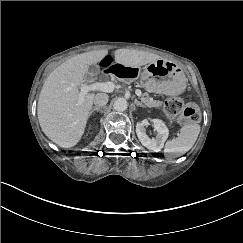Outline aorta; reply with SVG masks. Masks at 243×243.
<instances>
[{"label": "aorta", "instance_id": "762f6f07", "mask_svg": "<svg viewBox=\"0 0 243 243\" xmlns=\"http://www.w3.org/2000/svg\"><path fill=\"white\" fill-rule=\"evenodd\" d=\"M113 108L115 111L117 112H124L127 110L128 108V104L127 101L124 98H118L114 104H113Z\"/></svg>", "mask_w": 243, "mask_h": 243}]
</instances>
